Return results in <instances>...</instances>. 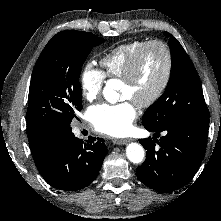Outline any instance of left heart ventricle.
<instances>
[{
    "label": "left heart ventricle",
    "instance_id": "b2bd125f",
    "mask_svg": "<svg viewBox=\"0 0 221 221\" xmlns=\"http://www.w3.org/2000/svg\"><path fill=\"white\" fill-rule=\"evenodd\" d=\"M165 66L166 59L162 49H148L134 80L131 83H122V98L131 99L136 104L148 99L161 83Z\"/></svg>",
    "mask_w": 221,
    "mask_h": 221
}]
</instances>
